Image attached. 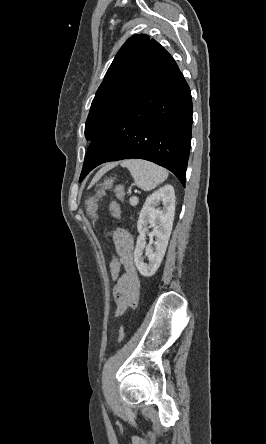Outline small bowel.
<instances>
[{"instance_id": "c3829d8e", "label": "small bowel", "mask_w": 266, "mask_h": 444, "mask_svg": "<svg viewBox=\"0 0 266 444\" xmlns=\"http://www.w3.org/2000/svg\"><path fill=\"white\" fill-rule=\"evenodd\" d=\"M113 240L118 258L123 266V272L113 289L117 305L116 315L120 316L137 304L140 295V279L134 264V242L131 235L124 230H118L114 233Z\"/></svg>"}]
</instances>
